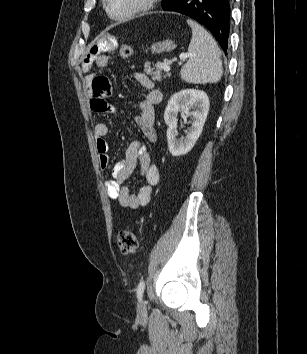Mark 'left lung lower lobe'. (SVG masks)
Listing matches in <instances>:
<instances>
[{"mask_svg":"<svg viewBox=\"0 0 307 354\" xmlns=\"http://www.w3.org/2000/svg\"><path fill=\"white\" fill-rule=\"evenodd\" d=\"M165 11H175L189 16L204 25L228 49L230 29V0H171Z\"/></svg>","mask_w":307,"mask_h":354,"instance_id":"left-lung-lower-lobe-1","label":"left lung lower lobe"}]
</instances>
